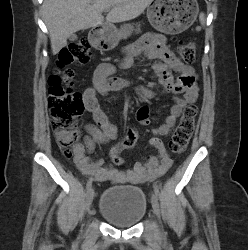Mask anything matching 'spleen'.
I'll use <instances>...</instances> for the list:
<instances>
[{
    "label": "spleen",
    "instance_id": "1",
    "mask_svg": "<svg viewBox=\"0 0 248 250\" xmlns=\"http://www.w3.org/2000/svg\"><path fill=\"white\" fill-rule=\"evenodd\" d=\"M199 20H200V23L201 25H205V14L204 13H201L200 16H199Z\"/></svg>",
    "mask_w": 248,
    "mask_h": 250
}]
</instances>
